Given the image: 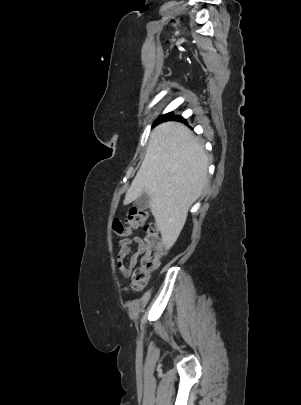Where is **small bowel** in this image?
<instances>
[{
  "label": "small bowel",
  "instance_id": "obj_1",
  "mask_svg": "<svg viewBox=\"0 0 301 405\" xmlns=\"http://www.w3.org/2000/svg\"><path fill=\"white\" fill-rule=\"evenodd\" d=\"M142 239L139 236L125 237L119 242V251L117 255L118 267L125 277H128L137 263V259L142 248ZM136 246L137 251L126 263V258L131 252V247Z\"/></svg>",
  "mask_w": 301,
  "mask_h": 405
}]
</instances>
